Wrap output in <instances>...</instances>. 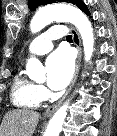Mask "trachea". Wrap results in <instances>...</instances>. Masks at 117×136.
Returning a JSON list of instances; mask_svg holds the SVG:
<instances>
[{
	"label": "trachea",
	"instance_id": "trachea-1",
	"mask_svg": "<svg viewBox=\"0 0 117 136\" xmlns=\"http://www.w3.org/2000/svg\"><path fill=\"white\" fill-rule=\"evenodd\" d=\"M67 40H72V35H68Z\"/></svg>",
	"mask_w": 117,
	"mask_h": 136
}]
</instances>
